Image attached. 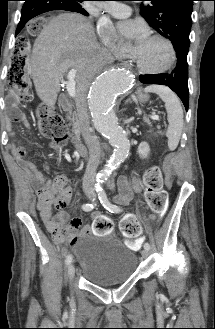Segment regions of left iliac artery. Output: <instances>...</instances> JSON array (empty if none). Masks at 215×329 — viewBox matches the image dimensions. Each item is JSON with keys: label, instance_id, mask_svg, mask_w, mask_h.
<instances>
[{"label": "left iliac artery", "instance_id": "44dca946", "mask_svg": "<svg viewBox=\"0 0 215 329\" xmlns=\"http://www.w3.org/2000/svg\"><path fill=\"white\" fill-rule=\"evenodd\" d=\"M98 197L99 200L102 204V206L107 209L109 212L111 213H119L120 212V208H118L116 205H113L107 198V195L105 193V191L102 188L98 189ZM145 249H150V244L149 243H145L144 245Z\"/></svg>", "mask_w": 215, "mask_h": 329}]
</instances>
